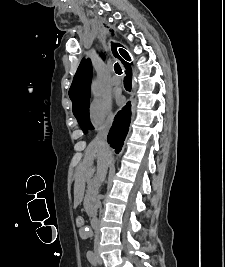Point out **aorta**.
Masks as SVG:
<instances>
[{"label":"aorta","instance_id":"obj_1","mask_svg":"<svg viewBox=\"0 0 225 267\" xmlns=\"http://www.w3.org/2000/svg\"><path fill=\"white\" fill-rule=\"evenodd\" d=\"M92 91H93L94 96H96V97H99V96L103 95V93H104L103 88L98 83H95L93 85Z\"/></svg>","mask_w":225,"mask_h":267}]
</instances>
